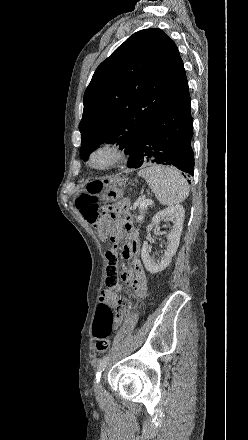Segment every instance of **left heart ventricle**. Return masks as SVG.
<instances>
[{
	"mask_svg": "<svg viewBox=\"0 0 248 440\" xmlns=\"http://www.w3.org/2000/svg\"><path fill=\"white\" fill-rule=\"evenodd\" d=\"M103 158L102 157H97L96 161H101Z\"/></svg>",
	"mask_w": 248,
	"mask_h": 440,
	"instance_id": "obj_1",
	"label": "left heart ventricle"
}]
</instances>
